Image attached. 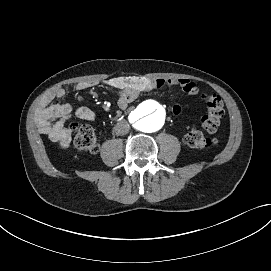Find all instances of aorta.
<instances>
[{
	"instance_id": "762f6f07",
	"label": "aorta",
	"mask_w": 271,
	"mask_h": 271,
	"mask_svg": "<svg viewBox=\"0 0 271 271\" xmlns=\"http://www.w3.org/2000/svg\"><path fill=\"white\" fill-rule=\"evenodd\" d=\"M165 118V109L154 100H146L139 104L132 115L138 128L146 133L160 130L165 123Z\"/></svg>"
}]
</instances>
